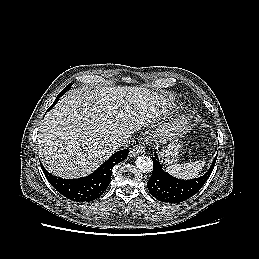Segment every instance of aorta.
Returning <instances> with one entry per match:
<instances>
[{"label":"aorta","instance_id":"obj_1","mask_svg":"<svg viewBox=\"0 0 259 259\" xmlns=\"http://www.w3.org/2000/svg\"><path fill=\"white\" fill-rule=\"evenodd\" d=\"M136 166L137 168L143 172V173H149L153 169V161L152 159L147 155L139 156L136 159Z\"/></svg>","mask_w":259,"mask_h":259}]
</instances>
